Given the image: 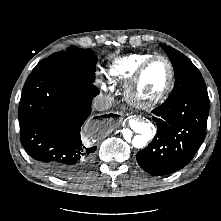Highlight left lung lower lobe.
Instances as JSON below:
<instances>
[{
    "mask_svg": "<svg viewBox=\"0 0 221 221\" xmlns=\"http://www.w3.org/2000/svg\"><path fill=\"white\" fill-rule=\"evenodd\" d=\"M152 112L157 134L137 153V162L152 175L171 174L185 167L204 141L209 114L207 89L168 98Z\"/></svg>",
    "mask_w": 221,
    "mask_h": 221,
    "instance_id": "1",
    "label": "left lung lower lobe"
}]
</instances>
